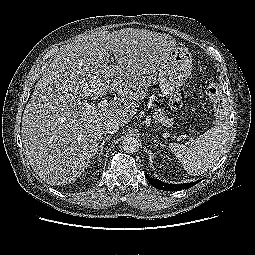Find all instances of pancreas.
Masks as SVG:
<instances>
[{
	"mask_svg": "<svg viewBox=\"0 0 255 255\" xmlns=\"http://www.w3.org/2000/svg\"><path fill=\"white\" fill-rule=\"evenodd\" d=\"M153 117L157 122L161 123L164 126H171L173 123L172 119H169L164 113V111L160 108H155Z\"/></svg>",
	"mask_w": 255,
	"mask_h": 255,
	"instance_id": "pancreas-1",
	"label": "pancreas"
}]
</instances>
